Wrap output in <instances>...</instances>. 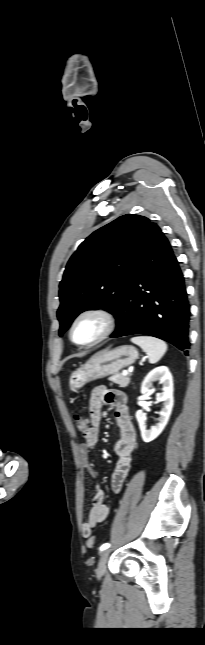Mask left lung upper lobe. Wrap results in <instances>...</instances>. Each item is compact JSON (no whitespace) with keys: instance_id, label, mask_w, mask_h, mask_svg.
Here are the masks:
<instances>
[{"instance_id":"1","label":"left lung upper lobe","mask_w":205,"mask_h":645,"mask_svg":"<svg viewBox=\"0 0 205 645\" xmlns=\"http://www.w3.org/2000/svg\"><path fill=\"white\" fill-rule=\"evenodd\" d=\"M150 223L143 216L124 215L80 244L68 261L59 286L60 336L87 309L103 308L118 323L129 270Z\"/></svg>"}]
</instances>
